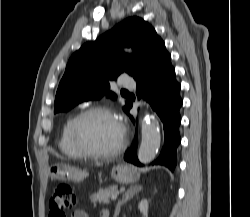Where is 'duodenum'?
Wrapping results in <instances>:
<instances>
[{"mask_svg": "<svg viewBox=\"0 0 250 217\" xmlns=\"http://www.w3.org/2000/svg\"><path fill=\"white\" fill-rule=\"evenodd\" d=\"M101 217H109V212L108 211H103L101 214Z\"/></svg>", "mask_w": 250, "mask_h": 217, "instance_id": "1", "label": "duodenum"}]
</instances>
